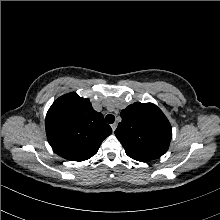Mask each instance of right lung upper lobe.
Returning <instances> with one entry per match:
<instances>
[{
	"label": "right lung upper lobe",
	"instance_id": "right-lung-upper-lobe-1",
	"mask_svg": "<svg viewBox=\"0 0 220 220\" xmlns=\"http://www.w3.org/2000/svg\"><path fill=\"white\" fill-rule=\"evenodd\" d=\"M46 134L55 153L72 161L94 156L112 133L101 113L75 92L59 97L46 115Z\"/></svg>",
	"mask_w": 220,
	"mask_h": 220
}]
</instances>
